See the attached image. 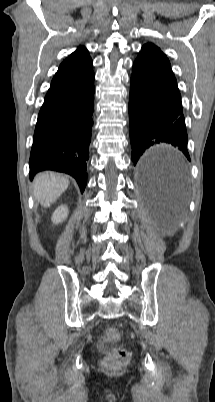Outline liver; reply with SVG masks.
<instances>
[{"label":"liver","mask_w":215,"mask_h":402,"mask_svg":"<svg viewBox=\"0 0 215 402\" xmlns=\"http://www.w3.org/2000/svg\"><path fill=\"white\" fill-rule=\"evenodd\" d=\"M66 176L54 172L39 173L33 182V194L43 207H49L68 188Z\"/></svg>","instance_id":"liver-1"}]
</instances>
